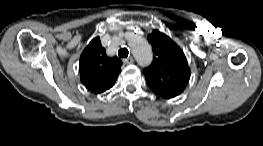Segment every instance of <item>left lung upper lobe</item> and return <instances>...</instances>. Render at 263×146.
I'll use <instances>...</instances> for the list:
<instances>
[{
    "label": "left lung upper lobe",
    "mask_w": 263,
    "mask_h": 146,
    "mask_svg": "<svg viewBox=\"0 0 263 146\" xmlns=\"http://www.w3.org/2000/svg\"><path fill=\"white\" fill-rule=\"evenodd\" d=\"M154 58L144 69L149 88L163 98L181 94L190 79V68L182 49L167 35L153 30L148 35Z\"/></svg>",
    "instance_id": "obj_1"
}]
</instances>
